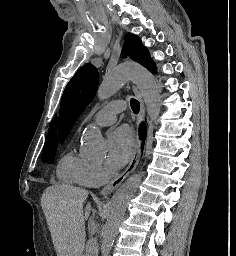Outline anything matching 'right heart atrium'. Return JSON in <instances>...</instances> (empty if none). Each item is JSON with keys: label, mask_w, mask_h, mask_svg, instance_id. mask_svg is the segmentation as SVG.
Listing matches in <instances>:
<instances>
[{"label": "right heart atrium", "mask_w": 236, "mask_h": 256, "mask_svg": "<svg viewBox=\"0 0 236 256\" xmlns=\"http://www.w3.org/2000/svg\"><path fill=\"white\" fill-rule=\"evenodd\" d=\"M109 179V172L102 163L88 162L79 173V184L97 188L105 184Z\"/></svg>", "instance_id": "1"}]
</instances>
